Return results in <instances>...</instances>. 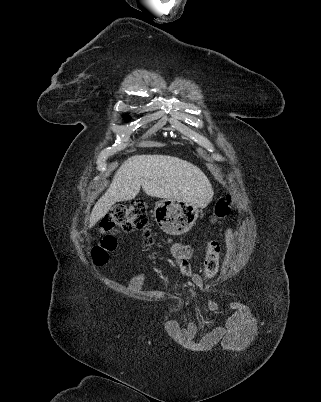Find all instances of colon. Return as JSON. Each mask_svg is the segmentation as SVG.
<instances>
[{"instance_id": "colon-1", "label": "colon", "mask_w": 321, "mask_h": 402, "mask_svg": "<svg viewBox=\"0 0 321 402\" xmlns=\"http://www.w3.org/2000/svg\"><path fill=\"white\" fill-rule=\"evenodd\" d=\"M233 207L231 197L220 198L214 204V221L226 218ZM132 232L142 231L148 240L152 232L148 223L147 208L142 201H135L129 205L118 206L105 217L100 226L102 237L91 251L95 264L103 265L117 247V238L114 231ZM221 246L216 239H210L205 244L204 277L212 278L216 275L220 266Z\"/></svg>"}]
</instances>
